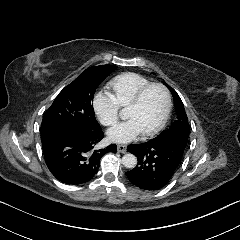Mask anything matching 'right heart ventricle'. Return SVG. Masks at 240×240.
<instances>
[{"instance_id":"obj_1","label":"right heart ventricle","mask_w":240,"mask_h":240,"mask_svg":"<svg viewBox=\"0 0 240 240\" xmlns=\"http://www.w3.org/2000/svg\"><path fill=\"white\" fill-rule=\"evenodd\" d=\"M148 83L150 81L147 78L137 73H123L107 82L106 94L117 108L123 109L130 103L138 89Z\"/></svg>"}]
</instances>
